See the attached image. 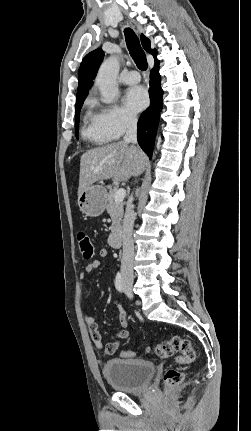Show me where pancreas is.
Masks as SVG:
<instances>
[{"label": "pancreas", "instance_id": "pancreas-1", "mask_svg": "<svg viewBox=\"0 0 251 431\" xmlns=\"http://www.w3.org/2000/svg\"><path fill=\"white\" fill-rule=\"evenodd\" d=\"M107 189L108 193L106 194V209L112 220L111 231L112 233H116L121 230L124 203L114 201V194L117 191L116 187L112 188L111 185H108Z\"/></svg>", "mask_w": 251, "mask_h": 431}]
</instances>
